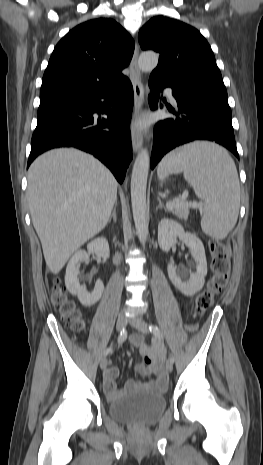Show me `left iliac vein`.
<instances>
[{
    "mask_svg": "<svg viewBox=\"0 0 263 465\" xmlns=\"http://www.w3.org/2000/svg\"><path fill=\"white\" fill-rule=\"evenodd\" d=\"M129 323L134 328L139 330L140 332H142L144 334L149 333L148 325L143 319H141L139 317H132V318L129 319ZM166 369H167L168 372H172V370H173V363L170 360H168L166 362Z\"/></svg>",
    "mask_w": 263,
    "mask_h": 465,
    "instance_id": "obj_1",
    "label": "left iliac vein"
}]
</instances>
